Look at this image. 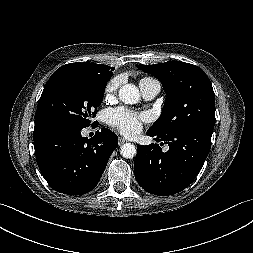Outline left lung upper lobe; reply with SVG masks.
Masks as SVG:
<instances>
[{
	"instance_id": "1",
	"label": "left lung upper lobe",
	"mask_w": 253,
	"mask_h": 253,
	"mask_svg": "<svg viewBox=\"0 0 253 253\" xmlns=\"http://www.w3.org/2000/svg\"><path fill=\"white\" fill-rule=\"evenodd\" d=\"M137 67L160 80L167 93L161 116L148 131L166 137L197 126L214 128L215 96L201 68L182 61Z\"/></svg>"
}]
</instances>
